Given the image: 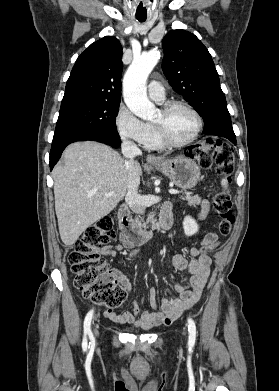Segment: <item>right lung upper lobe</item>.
<instances>
[{
  "mask_svg": "<svg viewBox=\"0 0 279 391\" xmlns=\"http://www.w3.org/2000/svg\"><path fill=\"white\" fill-rule=\"evenodd\" d=\"M118 39L105 36L76 60L60 109L91 102H120L123 64Z\"/></svg>",
  "mask_w": 279,
  "mask_h": 391,
  "instance_id": "cb5924a9",
  "label": "right lung upper lobe"
}]
</instances>
